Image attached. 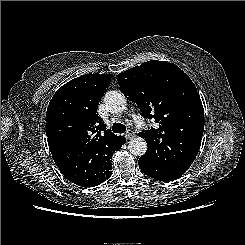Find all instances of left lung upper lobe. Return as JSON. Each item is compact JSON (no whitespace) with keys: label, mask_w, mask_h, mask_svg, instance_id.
Returning <instances> with one entry per match:
<instances>
[{"label":"left lung upper lobe","mask_w":245,"mask_h":245,"mask_svg":"<svg viewBox=\"0 0 245 245\" xmlns=\"http://www.w3.org/2000/svg\"><path fill=\"white\" fill-rule=\"evenodd\" d=\"M120 90L138 104L142 116L159 128L142 131L148 144L141 157L153 163L187 170L200 149L204 109L191 79L167 61L152 60L117 75Z\"/></svg>","instance_id":"obj_1"}]
</instances>
